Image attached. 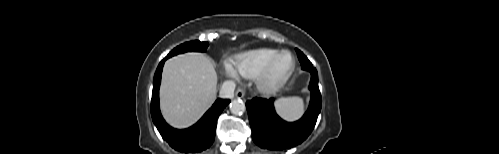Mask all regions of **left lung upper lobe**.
Returning <instances> with one entry per match:
<instances>
[{"label": "left lung upper lobe", "instance_id": "5c2ea615", "mask_svg": "<svg viewBox=\"0 0 499 154\" xmlns=\"http://www.w3.org/2000/svg\"><path fill=\"white\" fill-rule=\"evenodd\" d=\"M296 52H297L299 61L301 62L302 65L313 66L312 63L308 60V58L300 50H297Z\"/></svg>", "mask_w": 499, "mask_h": 154}]
</instances>
